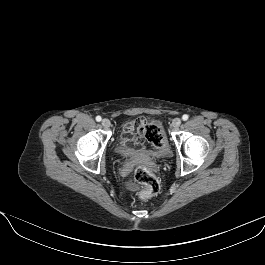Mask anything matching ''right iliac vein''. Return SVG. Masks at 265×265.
<instances>
[{
    "mask_svg": "<svg viewBox=\"0 0 265 265\" xmlns=\"http://www.w3.org/2000/svg\"><path fill=\"white\" fill-rule=\"evenodd\" d=\"M102 125H103V127H105V128H109L110 125H111L110 120H109V119H103V120H102Z\"/></svg>",
    "mask_w": 265,
    "mask_h": 265,
    "instance_id": "obj_1",
    "label": "right iliac vein"
}]
</instances>
